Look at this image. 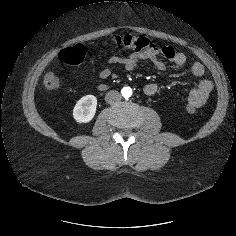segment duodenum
<instances>
[{"mask_svg": "<svg viewBox=\"0 0 236 236\" xmlns=\"http://www.w3.org/2000/svg\"><path fill=\"white\" fill-rule=\"evenodd\" d=\"M99 88L102 89V90H105V89L107 88V85H106V84H101V85L99 86Z\"/></svg>", "mask_w": 236, "mask_h": 236, "instance_id": "obj_1", "label": "duodenum"}]
</instances>
